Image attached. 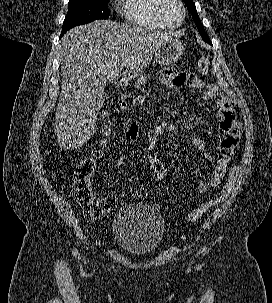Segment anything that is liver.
I'll return each instance as SVG.
<instances>
[{"instance_id":"liver-1","label":"liver","mask_w":272,"mask_h":303,"mask_svg":"<svg viewBox=\"0 0 272 303\" xmlns=\"http://www.w3.org/2000/svg\"><path fill=\"white\" fill-rule=\"evenodd\" d=\"M169 37L171 33L110 20L67 31L60 42L62 80L54 125L62 148H79L94 135L105 82L114 80L124 66L134 72L147 68Z\"/></svg>"}]
</instances>
